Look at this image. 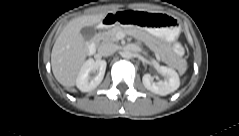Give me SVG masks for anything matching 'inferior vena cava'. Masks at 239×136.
<instances>
[{
  "mask_svg": "<svg viewBox=\"0 0 239 136\" xmlns=\"http://www.w3.org/2000/svg\"><path fill=\"white\" fill-rule=\"evenodd\" d=\"M117 48V45L113 43H103L99 46L98 53L101 56L107 57L115 53L117 51Z\"/></svg>",
  "mask_w": 239,
  "mask_h": 136,
  "instance_id": "obj_1",
  "label": "inferior vena cava"
}]
</instances>
